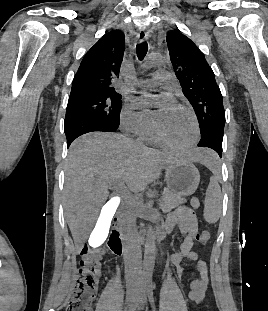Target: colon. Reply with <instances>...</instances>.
I'll use <instances>...</instances> for the list:
<instances>
[{
	"instance_id": "colon-1",
	"label": "colon",
	"mask_w": 268,
	"mask_h": 311,
	"mask_svg": "<svg viewBox=\"0 0 268 311\" xmlns=\"http://www.w3.org/2000/svg\"><path fill=\"white\" fill-rule=\"evenodd\" d=\"M197 240L202 246L210 241V232L200 231ZM105 250L100 247L85 246L81 251V261L72 295L66 311H92V303L98 289L102 272V258Z\"/></svg>"
}]
</instances>
